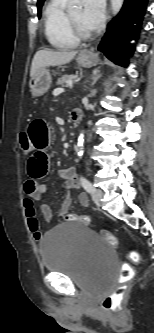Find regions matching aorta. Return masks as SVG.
Returning a JSON list of instances; mask_svg holds the SVG:
<instances>
[{"label":"aorta","instance_id":"1","mask_svg":"<svg viewBox=\"0 0 154 333\" xmlns=\"http://www.w3.org/2000/svg\"><path fill=\"white\" fill-rule=\"evenodd\" d=\"M80 0H68V5L71 6H76L78 5ZM124 0H110L111 3V10L114 15L118 14L122 5H123ZM83 143H84V135L80 134L78 138V156H82L83 154Z\"/></svg>","mask_w":154,"mask_h":333}]
</instances>
